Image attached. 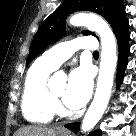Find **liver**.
Listing matches in <instances>:
<instances>
[{"label":"liver","mask_w":136,"mask_h":136,"mask_svg":"<svg viewBox=\"0 0 136 136\" xmlns=\"http://www.w3.org/2000/svg\"><path fill=\"white\" fill-rule=\"evenodd\" d=\"M56 134V129L28 126L20 128L14 136H56Z\"/></svg>","instance_id":"obj_1"}]
</instances>
